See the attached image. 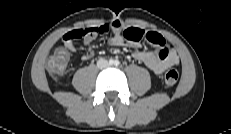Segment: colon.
Segmentation results:
<instances>
[{
  "label": "colon",
  "mask_w": 231,
  "mask_h": 134,
  "mask_svg": "<svg viewBox=\"0 0 231 134\" xmlns=\"http://www.w3.org/2000/svg\"><path fill=\"white\" fill-rule=\"evenodd\" d=\"M69 59L68 52L64 48H58L49 57L46 68L53 75L62 74L67 66ZM178 72L175 69H169L164 73V82L168 86H173L178 80Z\"/></svg>",
  "instance_id": "5ec220e1"
}]
</instances>
